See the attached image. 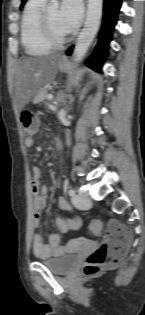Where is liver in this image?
<instances>
[{"label": "liver", "mask_w": 145, "mask_h": 315, "mask_svg": "<svg viewBox=\"0 0 145 315\" xmlns=\"http://www.w3.org/2000/svg\"><path fill=\"white\" fill-rule=\"evenodd\" d=\"M60 55L26 57L17 69L15 81L14 110L20 111L50 84L59 68Z\"/></svg>", "instance_id": "obj_1"}]
</instances>
